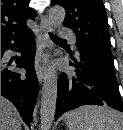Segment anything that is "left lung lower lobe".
Wrapping results in <instances>:
<instances>
[{"mask_svg":"<svg viewBox=\"0 0 123 130\" xmlns=\"http://www.w3.org/2000/svg\"><path fill=\"white\" fill-rule=\"evenodd\" d=\"M69 54L74 74L62 73L59 77L55 120L82 105L107 106L123 112L113 60L82 51L76 58Z\"/></svg>","mask_w":123,"mask_h":130,"instance_id":"obj_1","label":"left lung lower lobe"}]
</instances>
